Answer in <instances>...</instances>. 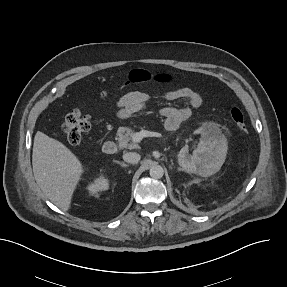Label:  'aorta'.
I'll use <instances>...</instances> for the list:
<instances>
[{"label":"aorta","instance_id":"obj_1","mask_svg":"<svg viewBox=\"0 0 287 287\" xmlns=\"http://www.w3.org/2000/svg\"><path fill=\"white\" fill-rule=\"evenodd\" d=\"M150 176L154 179H160L164 175V170L160 165H154L150 168Z\"/></svg>","mask_w":287,"mask_h":287}]
</instances>
